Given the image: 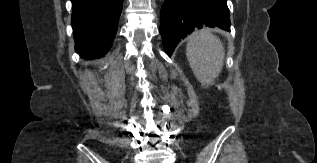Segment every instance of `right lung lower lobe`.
I'll list each match as a JSON object with an SVG mask.
<instances>
[{
  "label": "right lung lower lobe",
  "instance_id": "1",
  "mask_svg": "<svg viewBox=\"0 0 317 163\" xmlns=\"http://www.w3.org/2000/svg\"><path fill=\"white\" fill-rule=\"evenodd\" d=\"M75 48L85 59H97L110 49L123 0H71Z\"/></svg>",
  "mask_w": 317,
  "mask_h": 163
}]
</instances>
